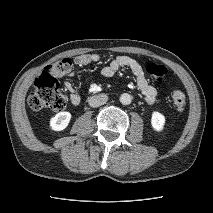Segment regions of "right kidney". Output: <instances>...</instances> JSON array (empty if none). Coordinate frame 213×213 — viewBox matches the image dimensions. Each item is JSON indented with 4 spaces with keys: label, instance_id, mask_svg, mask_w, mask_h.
<instances>
[{
    "label": "right kidney",
    "instance_id": "right-kidney-1",
    "mask_svg": "<svg viewBox=\"0 0 213 213\" xmlns=\"http://www.w3.org/2000/svg\"><path fill=\"white\" fill-rule=\"evenodd\" d=\"M70 120H71L70 112L66 111L59 112L50 119V127L52 130L62 131L68 126Z\"/></svg>",
    "mask_w": 213,
    "mask_h": 213
}]
</instances>
